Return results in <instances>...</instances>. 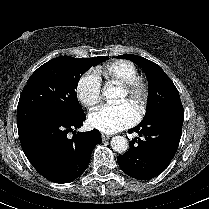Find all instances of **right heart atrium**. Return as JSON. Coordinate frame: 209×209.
<instances>
[{
	"label": "right heart atrium",
	"mask_w": 209,
	"mask_h": 209,
	"mask_svg": "<svg viewBox=\"0 0 209 209\" xmlns=\"http://www.w3.org/2000/svg\"><path fill=\"white\" fill-rule=\"evenodd\" d=\"M78 100L87 108L96 106L102 98L101 80L99 76L88 71L84 73L76 85Z\"/></svg>",
	"instance_id": "d8ad5b80"
}]
</instances>
